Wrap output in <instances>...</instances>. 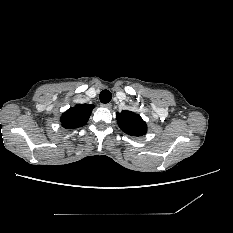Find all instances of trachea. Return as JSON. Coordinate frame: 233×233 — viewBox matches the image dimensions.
Instances as JSON below:
<instances>
[{
  "label": "trachea",
  "mask_w": 233,
  "mask_h": 233,
  "mask_svg": "<svg viewBox=\"0 0 233 233\" xmlns=\"http://www.w3.org/2000/svg\"><path fill=\"white\" fill-rule=\"evenodd\" d=\"M99 99L102 103H109L112 99V94L109 90H103L100 95Z\"/></svg>",
  "instance_id": "trachea-1"
}]
</instances>
